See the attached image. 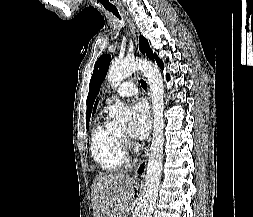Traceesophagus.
<instances>
[{
	"mask_svg": "<svg viewBox=\"0 0 253 217\" xmlns=\"http://www.w3.org/2000/svg\"><path fill=\"white\" fill-rule=\"evenodd\" d=\"M126 14V13H125ZM129 26H130V29H131V35L135 41V43H137V35H136V29H135V26L134 24L131 22V20L129 19ZM147 95H148V99L149 101H151V95H150V90H149V86H148V92H147ZM149 150H150V146L148 145L145 149H144V154H143V158L142 160L140 161V163L137 165V167L135 168V171H134V178L135 179H143L144 178V175H145V171H146V165H147V161H148V156H149Z\"/></svg>",
	"mask_w": 253,
	"mask_h": 217,
	"instance_id": "34e87169",
	"label": "esophagus"
}]
</instances>
